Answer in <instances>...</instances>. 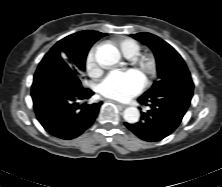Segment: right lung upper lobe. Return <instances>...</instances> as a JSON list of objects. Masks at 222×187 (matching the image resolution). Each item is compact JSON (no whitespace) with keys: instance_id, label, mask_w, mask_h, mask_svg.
<instances>
[{"instance_id":"cb5924a9","label":"right lung upper lobe","mask_w":222,"mask_h":187,"mask_svg":"<svg viewBox=\"0 0 222 187\" xmlns=\"http://www.w3.org/2000/svg\"><path fill=\"white\" fill-rule=\"evenodd\" d=\"M106 35V33L91 30L80 31L60 40L55 46L51 48V51H60L61 49H68L71 46H76L81 43L93 44L99 38L104 37ZM44 60L51 61L54 59L45 57Z\"/></svg>"}]
</instances>
